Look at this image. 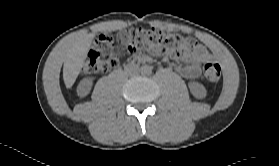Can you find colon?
Wrapping results in <instances>:
<instances>
[{"label": "colon", "instance_id": "1", "mask_svg": "<svg viewBox=\"0 0 279 166\" xmlns=\"http://www.w3.org/2000/svg\"><path fill=\"white\" fill-rule=\"evenodd\" d=\"M121 46L125 54L150 51L179 57L196 49V43L182 35L151 28H132L114 34H100L83 65L84 74L105 73L119 63ZM203 75L209 82H217L221 77V67L216 62H207L203 66Z\"/></svg>", "mask_w": 279, "mask_h": 166}]
</instances>
